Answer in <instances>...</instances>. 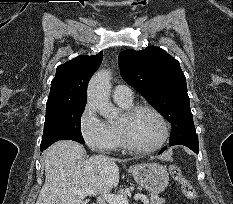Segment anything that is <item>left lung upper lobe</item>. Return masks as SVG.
<instances>
[{
	"label": "left lung upper lobe",
	"instance_id": "left-lung-upper-lobe-1",
	"mask_svg": "<svg viewBox=\"0 0 233 204\" xmlns=\"http://www.w3.org/2000/svg\"><path fill=\"white\" fill-rule=\"evenodd\" d=\"M122 78L160 112L172 126L169 142L196 134L187 94L186 77L179 62L155 46L120 53Z\"/></svg>",
	"mask_w": 233,
	"mask_h": 204
}]
</instances>
